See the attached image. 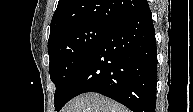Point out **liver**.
<instances>
[{"label":"liver","mask_w":193,"mask_h":112,"mask_svg":"<svg viewBox=\"0 0 193 112\" xmlns=\"http://www.w3.org/2000/svg\"><path fill=\"white\" fill-rule=\"evenodd\" d=\"M62 112H129V110L98 93H85L69 101Z\"/></svg>","instance_id":"1"}]
</instances>
